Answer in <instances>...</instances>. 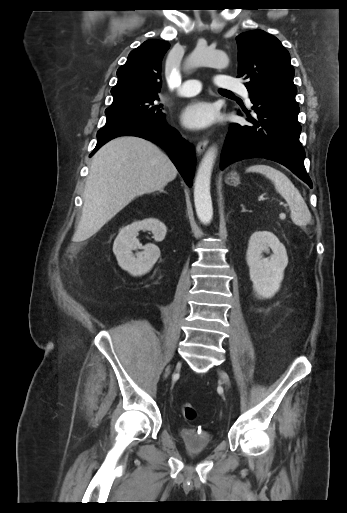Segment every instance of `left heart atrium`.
I'll return each mask as SVG.
<instances>
[{"instance_id":"39dd6f15","label":"left heart atrium","mask_w":347,"mask_h":513,"mask_svg":"<svg viewBox=\"0 0 347 513\" xmlns=\"http://www.w3.org/2000/svg\"><path fill=\"white\" fill-rule=\"evenodd\" d=\"M216 117L213 105L205 100H195L187 104L180 115L182 124L189 129H204L210 126Z\"/></svg>"}]
</instances>
